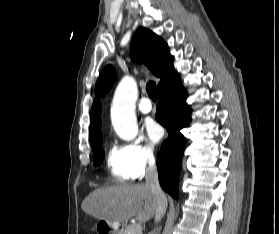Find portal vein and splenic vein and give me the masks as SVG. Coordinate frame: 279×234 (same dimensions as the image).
Listing matches in <instances>:
<instances>
[{
  "instance_id": "portal-vein-and-splenic-vein-1",
  "label": "portal vein and splenic vein",
  "mask_w": 279,
  "mask_h": 234,
  "mask_svg": "<svg viewBox=\"0 0 279 234\" xmlns=\"http://www.w3.org/2000/svg\"><path fill=\"white\" fill-rule=\"evenodd\" d=\"M133 232H142V226L140 224H135L132 229Z\"/></svg>"
}]
</instances>
